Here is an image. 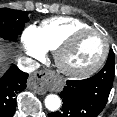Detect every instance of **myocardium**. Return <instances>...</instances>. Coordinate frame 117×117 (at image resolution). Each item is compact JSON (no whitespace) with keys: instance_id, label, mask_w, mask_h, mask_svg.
<instances>
[{"instance_id":"f54148a6","label":"myocardium","mask_w":117,"mask_h":117,"mask_svg":"<svg viewBox=\"0 0 117 117\" xmlns=\"http://www.w3.org/2000/svg\"><path fill=\"white\" fill-rule=\"evenodd\" d=\"M86 34H97L102 37L104 42L103 53L100 58L91 66L83 69L71 68L66 64L65 58L69 51L74 47L79 38ZM110 50V44L107 36L99 29L90 27L79 29L72 32L66 39L59 45L55 51V63L59 71L67 77L71 78H84L96 73L105 63Z\"/></svg>"}]
</instances>
